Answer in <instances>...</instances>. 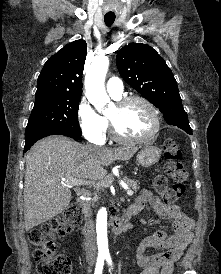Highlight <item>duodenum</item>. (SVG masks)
Returning <instances> with one entry per match:
<instances>
[{
  "mask_svg": "<svg viewBox=\"0 0 221 274\" xmlns=\"http://www.w3.org/2000/svg\"><path fill=\"white\" fill-rule=\"evenodd\" d=\"M78 204L82 208L84 218L86 220V223L90 220V211H89V205L86 198H80L78 200ZM135 214L134 208L132 206L128 207L122 214L117 215L113 214L111 218V225L113 233L118 235L123 233L128 225L129 220L131 217Z\"/></svg>",
  "mask_w": 221,
  "mask_h": 274,
  "instance_id": "1",
  "label": "duodenum"
}]
</instances>
